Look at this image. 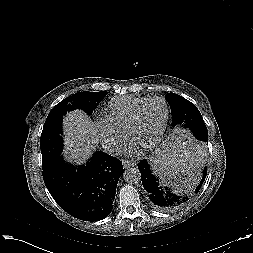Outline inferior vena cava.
I'll return each instance as SVG.
<instances>
[{
	"instance_id": "1",
	"label": "inferior vena cava",
	"mask_w": 253,
	"mask_h": 253,
	"mask_svg": "<svg viewBox=\"0 0 253 253\" xmlns=\"http://www.w3.org/2000/svg\"><path fill=\"white\" fill-rule=\"evenodd\" d=\"M103 148L111 155H118L120 153V147L115 143H106L103 145Z\"/></svg>"
}]
</instances>
